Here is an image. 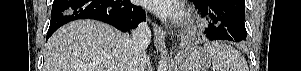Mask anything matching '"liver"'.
<instances>
[{
	"label": "liver",
	"instance_id": "liver-1",
	"mask_svg": "<svg viewBox=\"0 0 301 71\" xmlns=\"http://www.w3.org/2000/svg\"><path fill=\"white\" fill-rule=\"evenodd\" d=\"M130 36L95 20H77L47 41L43 71H125ZM144 68L149 58L144 55Z\"/></svg>",
	"mask_w": 301,
	"mask_h": 71
}]
</instances>
